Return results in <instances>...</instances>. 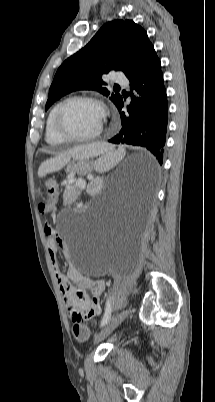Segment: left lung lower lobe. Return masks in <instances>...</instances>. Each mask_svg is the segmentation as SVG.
Instances as JSON below:
<instances>
[{"mask_svg": "<svg viewBox=\"0 0 215 402\" xmlns=\"http://www.w3.org/2000/svg\"><path fill=\"white\" fill-rule=\"evenodd\" d=\"M128 79L132 88L130 94L133 96L134 91L140 97H132L127 106L128 113L121 111L124 106L123 98L116 105L122 127L109 142L147 148L157 160L143 175L146 179H151L155 175L157 162L160 165L163 163L168 123V102L160 59L155 57Z\"/></svg>", "mask_w": 215, "mask_h": 402, "instance_id": "1", "label": "left lung lower lobe"}]
</instances>
